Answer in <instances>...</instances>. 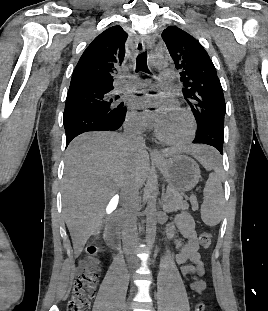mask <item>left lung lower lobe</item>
Segmentation results:
<instances>
[{
    "mask_svg": "<svg viewBox=\"0 0 268 311\" xmlns=\"http://www.w3.org/2000/svg\"><path fill=\"white\" fill-rule=\"evenodd\" d=\"M224 113L216 114L215 125H201L197 127L196 137L193 143L210 144L215 147L221 154L223 153L224 142Z\"/></svg>",
    "mask_w": 268,
    "mask_h": 311,
    "instance_id": "1",
    "label": "left lung lower lobe"
}]
</instances>
